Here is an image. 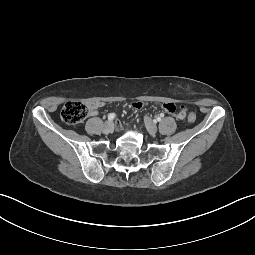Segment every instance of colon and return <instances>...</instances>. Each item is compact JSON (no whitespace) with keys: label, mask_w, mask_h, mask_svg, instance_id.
Masks as SVG:
<instances>
[{"label":"colon","mask_w":255,"mask_h":255,"mask_svg":"<svg viewBox=\"0 0 255 255\" xmlns=\"http://www.w3.org/2000/svg\"><path fill=\"white\" fill-rule=\"evenodd\" d=\"M91 106L82 101H69L65 103L61 110L62 120L69 125H76L84 121V119L89 115ZM187 120L190 123L195 122L196 115L190 112L187 115Z\"/></svg>","instance_id":"obj_1"}]
</instances>
